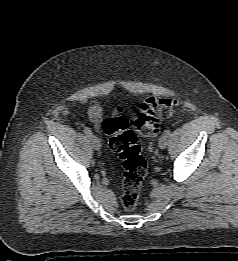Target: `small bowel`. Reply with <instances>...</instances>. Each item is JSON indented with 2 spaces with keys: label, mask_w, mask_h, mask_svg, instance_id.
<instances>
[{
  "label": "small bowel",
  "mask_w": 238,
  "mask_h": 261,
  "mask_svg": "<svg viewBox=\"0 0 238 261\" xmlns=\"http://www.w3.org/2000/svg\"><path fill=\"white\" fill-rule=\"evenodd\" d=\"M88 116L91 122L98 127L102 118V109L98 104H94L88 110Z\"/></svg>",
  "instance_id": "1"
}]
</instances>
